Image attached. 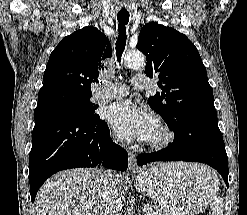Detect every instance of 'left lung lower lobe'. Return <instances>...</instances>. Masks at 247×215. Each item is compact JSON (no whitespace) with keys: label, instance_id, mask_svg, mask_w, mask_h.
<instances>
[{"label":"left lung lower lobe","instance_id":"obj_1","mask_svg":"<svg viewBox=\"0 0 247 215\" xmlns=\"http://www.w3.org/2000/svg\"><path fill=\"white\" fill-rule=\"evenodd\" d=\"M155 161L201 162L215 168L228 187V158L218 121L197 120L174 130L169 147L151 154H140L137 164Z\"/></svg>","mask_w":247,"mask_h":215}]
</instances>
